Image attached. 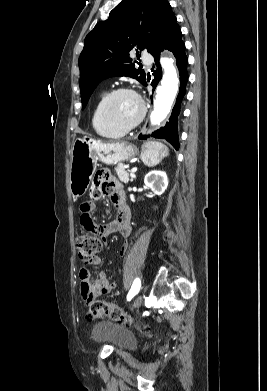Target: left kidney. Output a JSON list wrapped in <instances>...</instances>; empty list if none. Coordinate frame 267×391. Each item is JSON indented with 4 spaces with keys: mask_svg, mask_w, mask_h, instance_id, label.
<instances>
[{
    "mask_svg": "<svg viewBox=\"0 0 267 391\" xmlns=\"http://www.w3.org/2000/svg\"><path fill=\"white\" fill-rule=\"evenodd\" d=\"M145 185L156 195H161L168 187V178L164 171L154 170L144 178Z\"/></svg>",
    "mask_w": 267,
    "mask_h": 391,
    "instance_id": "5707ae66",
    "label": "left kidney"
}]
</instances>
